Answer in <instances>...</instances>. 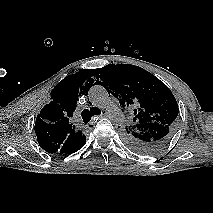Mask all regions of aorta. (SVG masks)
Segmentation results:
<instances>
[{
    "mask_svg": "<svg viewBox=\"0 0 213 213\" xmlns=\"http://www.w3.org/2000/svg\"><path fill=\"white\" fill-rule=\"evenodd\" d=\"M90 101L107 111L108 118L115 124L122 125L125 122V117L120 108L113 102L107 90L100 86H93L89 91Z\"/></svg>",
    "mask_w": 213,
    "mask_h": 213,
    "instance_id": "762f6f07",
    "label": "aorta"
}]
</instances>
